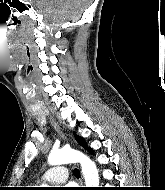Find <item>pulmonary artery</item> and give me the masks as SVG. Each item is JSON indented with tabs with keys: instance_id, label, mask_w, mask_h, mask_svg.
<instances>
[{
	"instance_id": "obj_1",
	"label": "pulmonary artery",
	"mask_w": 165,
	"mask_h": 190,
	"mask_svg": "<svg viewBox=\"0 0 165 190\" xmlns=\"http://www.w3.org/2000/svg\"><path fill=\"white\" fill-rule=\"evenodd\" d=\"M68 169L63 165H58L47 170L41 180L52 183H64L68 179Z\"/></svg>"
}]
</instances>
